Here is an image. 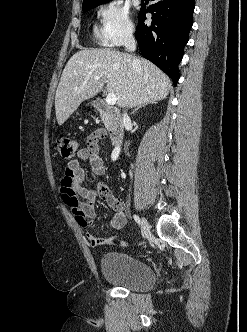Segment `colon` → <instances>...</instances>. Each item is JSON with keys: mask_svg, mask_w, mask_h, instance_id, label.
<instances>
[{"mask_svg": "<svg viewBox=\"0 0 247 332\" xmlns=\"http://www.w3.org/2000/svg\"><path fill=\"white\" fill-rule=\"evenodd\" d=\"M57 154L64 159L73 158L79 150V143L76 139L67 136H59L55 142Z\"/></svg>", "mask_w": 247, "mask_h": 332, "instance_id": "1", "label": "colon"}]
</instances>
